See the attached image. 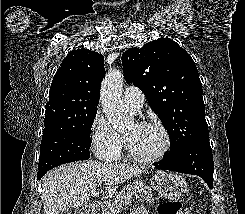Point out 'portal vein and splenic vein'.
Here are the masks:
<instances>
[{"label":"portal vein and splenic vein","instance_id":"1","mask_svg":"<svg viewBox=\"0 0 245 214\" xmlns=\"http://www.w3.org/2000/svg\"><path fill=\"white\" fill-rule=\"evenodd\" d=\"M91 195L93 196V195H96V189H92L91 190Z\"/></svg>","mask_w":245,"mask_h":214}]
</instances>
